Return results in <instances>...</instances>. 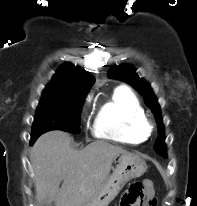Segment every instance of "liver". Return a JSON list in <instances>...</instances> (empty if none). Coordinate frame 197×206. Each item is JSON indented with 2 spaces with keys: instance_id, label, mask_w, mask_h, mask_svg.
Segmentation results:
<instances>
[{
  "instance_id": "liver-1",
  "label": "liver",
  "mask_w": 197,
  "mask_h": 206,
  "mask_svg": "<svg viewBox=\"0 0 197 206\" xmlns=\"http://www.w3.org/2000/svg\"><path fill=\"white\" fill-rule=\"evenodd\" d=\"M71 143L68 133L55 130L41 135L33 145L30 160L38 204L82 206L109 177L113 160L128 153L106 141H95L82 150Z\"/></svg>"
}]
</instances>
